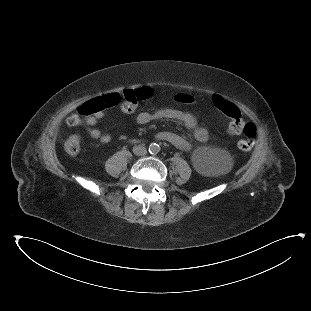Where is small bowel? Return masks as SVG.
Instances as JSON below:
<instances>
[{"label": "small bowel", "instance_id": "obj_1", "mask_svg": "<svg viewBox=\"0 0 311 311\" xmlns=\"http://www.w3.org/2000/svg\"><path fill=\"white\" fill-rule=\"evenodd\" d=\"M103 116L104 114L99 112L88 117L85 122V127L91 138L99 139L103 144H107L111 141V135L103 134L98 128V122ZM156 120L177 121L193 132L195 140L199 142H206L208 140L209 136L207 130L198 126L195 117L188 112L168 108L156 111H142L137 116V122L139 124H148ZM157 139L169 142L184 151H191L193 148L191 141L174 132H160L157 134Z\"/></svg>", "mask_w": 311, "mask_h": 311}]
</instances>
